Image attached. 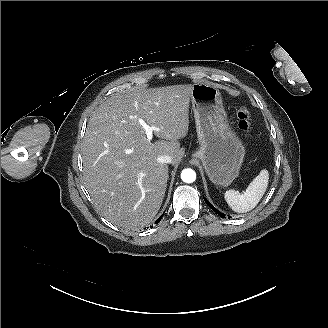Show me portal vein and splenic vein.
Instances as JSON below:
<instances>
[{
  "label": "portal vein and splenic vein",
  "instance_id": "1",
  "mask_svg": "<svg viewBox=\"0 0 328 328\" xmlns=\"http://www.w3.org/2000/svg\"><path fill=\"white\" fill-rule=\"evenodd\" d=\"M140 125L142 126V128L145 130L146 132V136L148 139H152L153 138V131H158L160 132L162 129L156 126H149L144 120L140 119L139 120Z\"/></svg>",
  "mask_w": 328,
  "mask_h": 328
}]
</instances>
